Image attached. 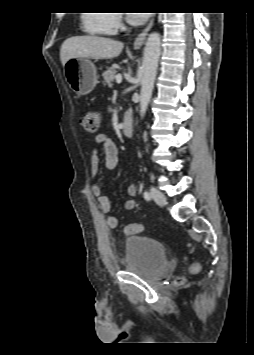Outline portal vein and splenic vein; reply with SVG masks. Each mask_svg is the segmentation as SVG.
Returning <instances> with one entry per match:
<instances>
[{
  "mask_svg": "<svg viewBox=\"0 0 254 355\" xmlns=\"http://www.w3.org/2000/svg\"><path fill=\"white\" fill-rule=\"evenodd\" d=\"M115 79H116L117 83H121L122 82V75L121 74L116 75Z\"/></svg>",
  "mask_w": 254,
  "mask_h": 355,
  "instance_id": "obj_1",
  "label": "portal vein and splenic vein"
}]
</instances>
